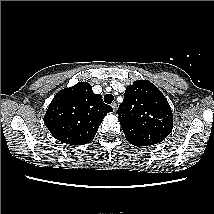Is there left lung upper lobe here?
I'll return each mask as SVG.
<instances>
[{"instance_id": "5c2ea615", "label": "left lung upper lobe", "mask_w": 214, "mask_h": 214, "mask_svg": "<svg viewBox=\"0 0 214 214\" xmlns=\"http://www.w3.org/2000/svg\"><path fill=\"white\" fill-rule=\"evenodd\" d=\"M117 114L126 139L138 147L160 143L173 128L167 99L147 80L135 81L126 88Z\"/></svg>"}]
</instances>
